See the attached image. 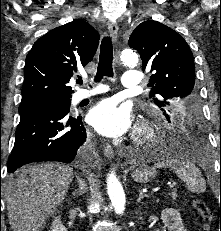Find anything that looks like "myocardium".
Here are the masks:
<instances>
[{
  "label": "myocardium",
  "mask_w": 221,
  "mask_h": 231,
  "mask_svg": "<svg viewBox=\"0 0 221 231\" xmlns=\"http://www.w3.org/2000/svg\"><path fill=\"white\" fill-rule=\"evenodd\" d=\"M155 125L149 121H141L135 128L132 140L136 144L151 142L156 138Z\"/></svg>",
  "instance_id": "myocardium-1"
}]
</instances>
